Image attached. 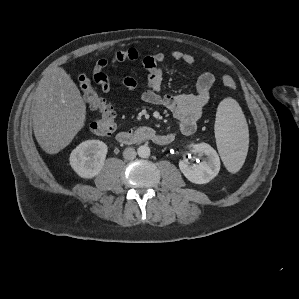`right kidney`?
Returning a JSON list of instances; mask_svg holds the SVG:
<instances>
[{
  "instance_id": "right-kidney-1",
  "label": "right kidney",
  "mask_w": 299,
  "mask_h": 299,
  "mask_svg": "<svg viewBox=\"0 0 299 299\" xmlns=\"http://www.w3.org/2000/svg\"><path fill=\"white\" fill-rule=\"evenodd\" d=\"M107 151V145L100 140L84 141L71 152L70 165L81 178L91 179L103 168Z\"/></svg>"
}]
</instances>
